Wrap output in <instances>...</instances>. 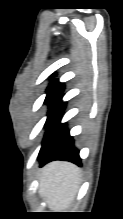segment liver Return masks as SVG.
Segmentation results:
<instances>
[{"mask_svg":"<svg viewBox=\"0 0 123 219\" xmlns=\"http://www.w3.org/2000/svg\"><path fill=\"white\" fill-rule=\"evenodd\" d=\"M80 182L81 171L77 166L69 162H51L41 172L39 194L51 210H64L74 200Z\"/></svg>","mask_w":123,"mask_h":219,"instance_id":"liver-1","label":"liver"}]
</instances>
